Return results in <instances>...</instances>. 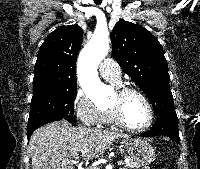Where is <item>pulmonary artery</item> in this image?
I'll return each mask as SVG.
<instances>
[{"mask_svg": "<svg viewBox=\"0 0 200 169\" xmlns=\"http://www.w3.org/2000/svg\"><path fill=\"white\" fill-rule=\"evenodd\" d=\"M99 72L104 79L110 82L119 84L121 81V69L114 60H103L100 64Z\"/></svg>", "mask_w": 200, "mask_h": 169, "instance_id": "1", "label": "pulmonary artery"}]
</instances>
